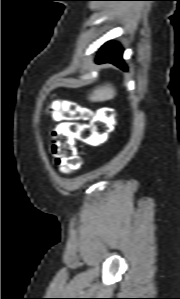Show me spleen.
Segmentation results:
<instances>
[{"label": "spleen", "mask_w": 180, "mask_h": 299, "mask_svg": "<svg viewBox=\"0 0 180 299\" xmlns=\"http://www.w3.org/2000/svg\"><path fill=\"white\" fill-rule=\"evenodd\" d=\"M115 96V90L110 84L94 89L89 99L91 101H106Z\"/></svg>", "instance_id": "3e777b00"}]
</instances>
